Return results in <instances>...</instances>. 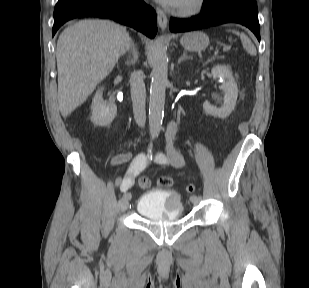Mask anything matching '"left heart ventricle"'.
I'll use <instances>...</instances> for the list:
<instances>
[{
  "label": "left heart ventricle",
  "instance_id": "b2bd125f",
  "mask_svg": "<svg viewBox=\"0 0 309 288\" xmlns=\"http://www.w3.org/2000/svg\"><path fill=\"white\" fill-rule=\"evenodd\" d=\"M192 0H181L177 7L185 6L189 4Z\"/></svg>",
  "mask_w": 309,
  "mask_h": 288
}]
</instances>
